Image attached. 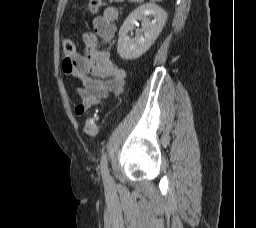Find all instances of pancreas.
Segmentation results:
<instances>
[{"label":"pancreas","mask_w":256,"mask_h":228,"mask_svg":"<svg viewBox=\"0 0 256 228\" xmlns=\"http://www.w3.org/2000/svg\"><path fill=\"white\" fill-rule=\"evenodd\" d=\"M143 0H128V2H137V3H140L142 2Z\"/></svg>","instance_id":"pancreas-1"}]
</instances>
